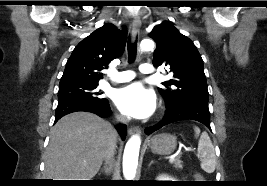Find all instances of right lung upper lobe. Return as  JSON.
<instances>
[{"instance_id": "cb5924a9", "label": "right lung upper lobe", "mask_w": 267, "mask_h": 186, "mask_svg": "<svg viewBox=\"0 0 267 186\" xmlns=\"http://www.w3.org/2000/svg\"><path fill=\"white\" fill-rule=\"evenodd\" d=\"M127 41L126 29L106 23L82 40L69 57L59 85L97 83L100 72L122 55Z\"/></svg>"}]
</instances>
